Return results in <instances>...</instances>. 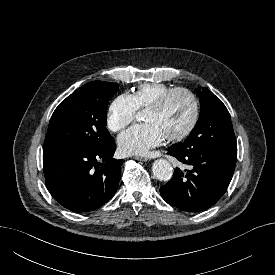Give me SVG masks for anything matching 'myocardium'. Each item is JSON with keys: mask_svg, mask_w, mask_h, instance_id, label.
<instances>
[{"mask_svg": "<svg viewBox=\"0 0 275 275\" xmlns=\"http://www.w3.org/2000/svg\"><path fill=\"white\" fill-rule=\"evenodd\" d=\"M177 93H184L190 98L191 103H192V116H191L189 124L183 131H181L177 134L165 136V139L168 141H171V142L181 141V140L187 138L189 135H191V133L194 131V129L198 123L199 114H200V106H199V101H198L196 94L193 91H191L190 89L185 88V87L171 88L170 90L165 92L161 97H159L152 105H150L147 108V110H154V111L161 110L167 104L169 99Z\"/></svg>", "mask_w": 275, "mask_h": 275, "instance_id": "myocardium-1", "label": "myocardium"}]
</instances>
